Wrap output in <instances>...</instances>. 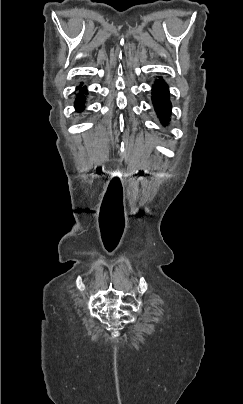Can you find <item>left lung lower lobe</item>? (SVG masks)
<instances>
[{
    "mask_svg": "<svg viewBox=\"0 0 243 404\" xmlns=\"http://www.w3.org/2000/svg\"><path fill=\"white\" fill-rule=\"evenodd\" d=\"M152 100L158 117L166 123L170 118L171 103L168 86L163 80H157L153 86Z\"/></svg>",
    "mask_w": 243,
    "mask_h": 404,
    "instance_id": "left-lung-lower-lobe-1",
    "label": "left lung lower lobe"
}]
</instances>
